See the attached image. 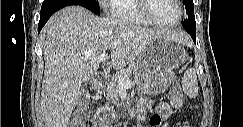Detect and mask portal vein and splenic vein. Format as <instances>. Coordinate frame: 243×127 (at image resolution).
Instances as JSON below:
<instances>
[{"instance_id":"portal-vein-and-splenic-vein-1","label":"portal vein and splenic vein","mask_w":243,"mask_h":127,"mask_svg":"<svg viewBox=\"0 0 243 127\" xmlns=\"http://www.w3.org/2000/svg\"><path fill=\"white\" fill-rule=\"evenodd\" d=\"M106 60H107V54H105V53L101 54L97 58V62L98 63L105 62ZM119 83H120L122 88H128V87H130L133 84V82L131 80L124 81L123 78L119 79Z\"/></svg>"}]
</instances>
